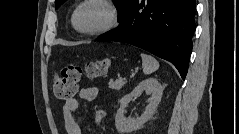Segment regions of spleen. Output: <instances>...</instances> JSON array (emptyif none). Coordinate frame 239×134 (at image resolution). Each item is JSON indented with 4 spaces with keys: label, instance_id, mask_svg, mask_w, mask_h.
<instances>
[{
    "label": "spleen",
    "instance_id": "1",
    "mask_svg": "<svg viewBox=\"0 0 239 134\" xmlns=\"http://www.w3.org/2000/svg\"><path fill=\"white\" fill-rule=\"evenodd\" d=\"M143 72L145 75H150L159 68L158 61L151 55L141 53Z\"/></svg>",
    "mask_w": 239,
    "mask_h": 134
}]
</instances>
